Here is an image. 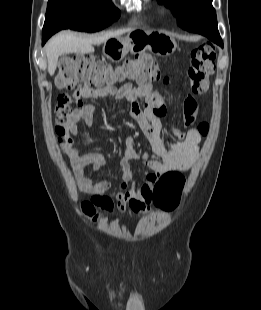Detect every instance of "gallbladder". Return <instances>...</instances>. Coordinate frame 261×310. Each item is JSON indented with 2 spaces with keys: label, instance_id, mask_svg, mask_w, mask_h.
I'll use <instances>...</instances> for the list:
<instances>
[{
  "label": "gallbladder",
  "instance_id": "1",
  "mask_svg": "<svg viewBox=\"0 0 261 310\" xmlns=\"http://www.w3.org/2000/svg\"><path fill=\"white\" fill-rule=\"evenodd\" d=\"M62 58H67V56H66V55H64Z\"/></svg>",
  "mask_w": 261,
  "mask_h": 310
}]
</instances>
